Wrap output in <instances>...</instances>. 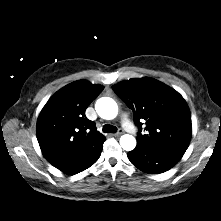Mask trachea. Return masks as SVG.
<instances>
[{"mask_svg":"<svg viewBox=\"0 0 221 221\" xmlns=\"http://www.w3.org/2000/svg\"><path fill=\"white\" fill-rule=\"evenodd\" d=\"M103 132L104 133H115L117 132V128L113 125H109V124H106L103 126Z\"/></svg>","mask_w":221,"mask_h":221,"instance_id":"3493384b","label":"trachea"}]
</instances>
